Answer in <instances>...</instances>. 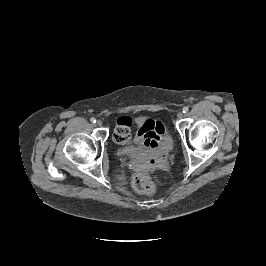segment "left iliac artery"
<instances>
[{
  "label": "left iliac artery",
  "mask_w": 266,
  "mask_h": 266,
  "mask_svg": "<svg viewBox=\"0 0 266 266\" xmlns=\"http://www.w3.org/2000/svg\"><path fill=\"white\" fill-rule=\"evenodd\" d=\"M183 113H187L189 111V108L187 106L183 107Z\"/></svg>",
  "instance_id": "left-iliac-artery-1"
}]
</instances>
